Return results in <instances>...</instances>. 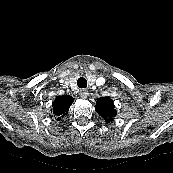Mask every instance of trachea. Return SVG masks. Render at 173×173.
<instances>
[{
	"label": "trachea",
	"mask_w": 173,
	"mask_h": 173,
	"mask_svg": "<svg viewBox=\"0 0 173 173\" xmlns=\"http://www.w3.org/2000/svg\"><path fill=\"white\" fill-rule=\"evenodd\" d=\"M77 85L79 88H86L87 87V80L84 77H80L77 80Z\"/></svg>",
	"instance_id": "3493384b"
}]
</instances>
